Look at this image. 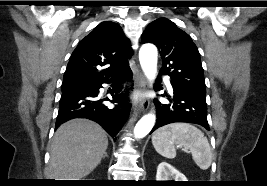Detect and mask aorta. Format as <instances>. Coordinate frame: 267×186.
<instances>
[{
  "mask_svg": "<svg viewBox=\"0 0 267 186\" xmlns=\"http://www.w3.org/2000/svg\"><path fill=\"white\" fill-rule=\"evenodd\" d=\"M139 60L145 76L153 81L157 72V49L152 44H144L139 51ZM155 115H144L134 128V135L138 138L145 137L155 124Z\"/></svg>",
  "mask_w": 267,
  "mask_h": 186,
  "instance_id": "aorta-1",
  "label": "aorta"
}]
</instances>
